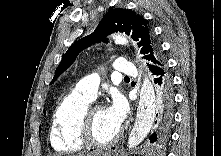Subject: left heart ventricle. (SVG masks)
Here are the masks:
<instances>
[{"mask_svg": "<svg viewBox=\"0 0 221 156\" xmlns=\"http://www.w3.org/2000/svg\"><path fill=\"white\" fill-rule=\"evenodd\" d=\"M92 131L94 137L100 142L110 140L118 132V129L107 119L106 109L102 106H96L93 110Z\"/></svg>", "mask_w": 221, "mask_h": 156, "instance_id": "left-heart-ventricle-1", "label": "left heart ventricle"}]
</instances>
